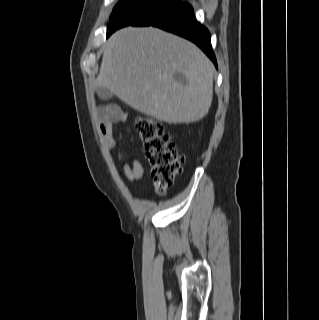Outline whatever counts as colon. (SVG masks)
<instances>
[{
	"instance_id": "5ec220e1",
	"label": "colon",
	"mask_w": 319,
	"mask_h": 320,
	"mask_svg": "<svg viewBox=\"0 0 319 320\" xmlns=\"http://www.w3.org/2000/svg\"><path fill=\"white\" fill-rule=\"evenodd\" d=\"M135 129L143 144L156 189L164 193L180 172L183 159L171 135L157 120L147 116L138 117Z\"/></svg>"
}]
</instances>
